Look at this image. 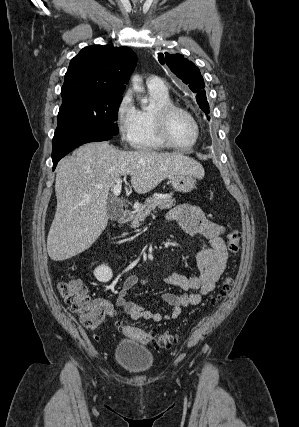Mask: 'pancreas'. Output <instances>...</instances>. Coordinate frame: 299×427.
I'll list each match as a JSON object with an SVG mask.
<instances>
[{
    "mask_svg": "<svg viewBox=\"0 0 299 427\" xmlns=\"http://www.w3.org/2000/svg\"><path fill=\"white\" fill-rule=\"evenodd\" d=\"M174 205L175 199L172 198L171 194H153L152 197L147 198L145 203L135 210L131 226L134 228L139 227L151 211L157 207L160 209H170Z\"/></svg>",
    "mask_w": 299,
    "mask_h": 427,
    "instance_id": "1",
    "label": "pancreas"
}]
</instances>
